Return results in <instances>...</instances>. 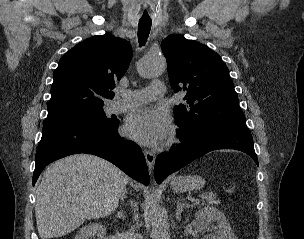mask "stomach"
<instances>
[{
    "label": "stomach",
    "mask_w": 304,
    "mask_h": 239,
    "mask_svg": "<svg viewBox=\"0 0 304 239\" xmlns=\"http://www.w3.org/2000/svg\"><path fill=\"white\" fill-rule=\"evenodd\" d=\"M205 180L198 175L179 176L171 181L173 191L181 193L187 190L200 189L204 186Z\"/></svg>",
    "instance_id": "1"
}]
</instances>
